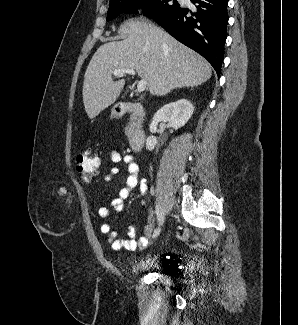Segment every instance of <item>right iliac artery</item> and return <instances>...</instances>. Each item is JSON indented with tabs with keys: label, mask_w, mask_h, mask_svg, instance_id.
Returning a JSON list of instances; mask_svg holds the SVG:
<instances>
[{
	"label": "right iliac artery",
	"mask_w": 298,
	"mask_h": 325,
	"mask_svg": "<svg viewBox=\"0 0 298 325\" xmlns=\"http://www.w3.org/2000/svg\"><path fill=\"white\" fill-rule=\"evenodd\" d=\"M159 232H160V229L157 228V229L154 231L152 237H153V238H154V237H157V236L159 235Z\"/></svg>",
	"instance_id": "right-iliac-artery-1"
}]
</instances>
